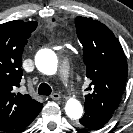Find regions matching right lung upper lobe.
Listing matches in <instances>:
<instances>
[{
	"label": "right lung upper lobe",
	"mask_w": 133,
	"mask_h": 133,
	"mask_svg": "<svg viewBox=\"0 0 133 133\" xmlns=\"http://www.w3.org/2000/svg\"><path fill=\"white\" fill-rule=\"evenodd\" d=\"M37 22L10 21L0 25V127L14 130L42 108L29 95L17 93L22 79L24 46Z\"/></svg>",
	"instance_id": "1"
}]
</instances>
